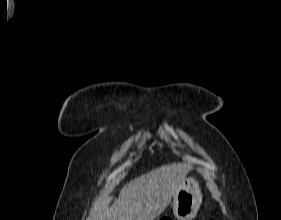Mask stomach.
Wrapping results in <instances>:
<instances>
[{
	"instance_id": "1",
	"label": "stomach",
	"mask_w": 281,
	"mask_h": 220,
	"mask_svg": "<svg viewBox=\"0 0 281 220\" xmlns=\"http://www.w3.org/2000/svg\"><path fill=\"white\" fill-rule=\"evenodd\" d=\"M202 203V195L198 182L185 178L173 197V213L177 220H192Z\"/></svg>"
}]
</instances>
